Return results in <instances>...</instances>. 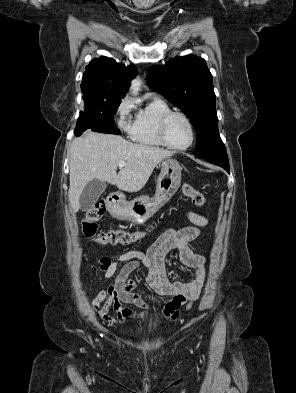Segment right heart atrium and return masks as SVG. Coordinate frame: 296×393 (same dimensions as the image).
<instances>
[{
	"instance_id": "right-heart-atrium-1",
	"label": "right heart atrium",
	"mask_w": 296,
	"mask_h": 393,
	"mask_svg": "<svg viewBox=\"0 0 296 393\" xmlns=\"http://www.w3.org/2000/svg\"><path fill=\"white\" fill-rule=\"evenodd\" d=\"M132 108L133 103L131 99H123L116 109L117 122L119 127L127 134H131L132 131Z\"/></svg>"
}]
</instances>
